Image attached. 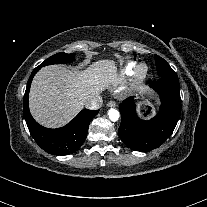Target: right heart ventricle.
<instances>
[{
	"mask_svg": "<svg viewBox=\"0 0 207 207\" xmlns=\"http://www.w3.org/2000/svg\"><path fill=\"white\" fill-rule=\"evenodd\" d=\"M133 67H134V63L133 62L129 63L125 68V72L128 73Z\"/></svg>",
	"mask_w": 207,
	"mask_h": 207,
	"instance_id": "1",
	"label": "right heart ventricle"
}]
</instances>
